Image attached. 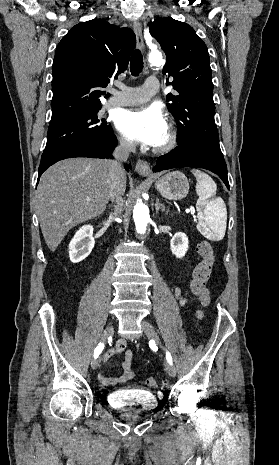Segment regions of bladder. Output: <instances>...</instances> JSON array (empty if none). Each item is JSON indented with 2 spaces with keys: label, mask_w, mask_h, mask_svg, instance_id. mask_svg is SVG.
Returning <instances> with one entry per match:
<instances>
[{
  "label": "bladder",
  "mask_w": 279,
  "mask_h": 465,
  "mask_svg": "<svg viewBox=\"0 0 279 465\" xmlns=\"http://www.w3.org/2000/svg\"><path fill=\"white\" fill-rule=\"evenodd\" d=\"M108 403L121 412H149L156 409L158 401L149 391L120 389L108 394Z\"/></svg>",
  "instance_id": "obj_1"
}]
</instances>
